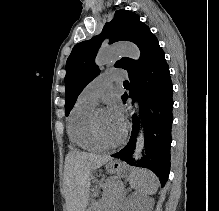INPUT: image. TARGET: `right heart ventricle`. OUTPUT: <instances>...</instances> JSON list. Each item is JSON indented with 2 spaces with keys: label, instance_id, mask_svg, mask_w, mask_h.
I'll return each mask as SVG.
<instances>
[{
  "label": "right heart ventricle",
  "instance_id": "1",
  "mask_svg": "<svg viewBox=\"0 0 219 211\" xmlns=\"http://www.w3.org/2000/svg\"><path fill=\"white\" fill-rule=\"evenodd\" d=\"M96 104L79 99L72 107L67 120L70 140L88 151H100L106 146L94 136L90 126V116Z\"/></svg>",
  "mask_w": 219,
  "mask_h": 211
}]
</instances>
